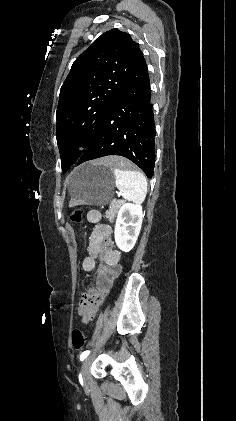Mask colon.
Returning a JSON list of instances; mask_svg holds the SVG:
<instances>
[{
    "label": "colon",
    "instance_id": "5ec220e1",
    "mask_svg": "<svg viewBox=\"0 0 236 421\" xmlns=\"http://www.w3.org/2000/svg\"><path fill=\"white\" fill-rule=\"evenodd\" d=\"M83 216V210L80 207H75L71 210L70 219L73 222H80ZM86 343V336L83 331L74 329L71 333V344L76 350H81Z\"/></svg>",
    "mask_w": 236,
    "mask_h": 421
}]
</instances>
